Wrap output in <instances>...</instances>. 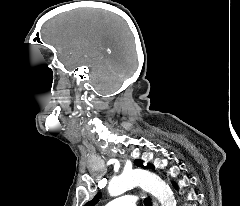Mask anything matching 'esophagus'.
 Listing matches in <instances>:
<instances>
[{
  "mask_svg": "<svg viewBox=\"0 0 240 206\" xmlns=\"http://www.w3.org/2000/svg\"><path fill=\"white\" fill-rule=\"evenodd\" d=\"M152 203H153V206H159L157 200L154 198H152Z\"/></svg>",
  "mask_w": 240,
  "mask_h": 206,
  "instance_id": "1",
  "label": "esophagus"
}]
</instances>
